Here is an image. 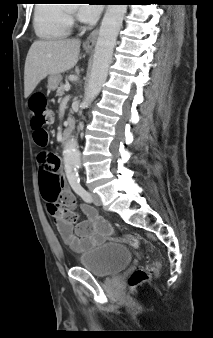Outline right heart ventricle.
<instances>
[{
	"label": "right heart ventricle",
	"instance_id": "e07e8e85",
	"mask_svg": "<svg viewBox=\"0 0 213 338\" xmlns=\"http://www.w3.org/2000/svg\"><path fill=\"white\" fill-rule=\"evenodd\" d=\"M34 30L41 39L66 38L69 34V24L65 8L57 4H36Z\"/></svg>",
	"mask_w": 213,
	"mask_h": 338
}]
</instances>
